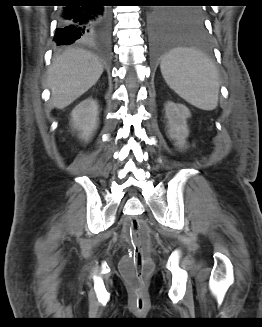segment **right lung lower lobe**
Returning a JSON list of instances; mask_svg holds the SVG:
<instances>
[{
    "instance_id": "obj_1",
    "label": "right lung lower lobe",
    "mask_w": 262,
    "mask_h": 327,
    "mask_svg": "<svg viewBox=\"0 0 262 327\" xmlns=\"http://www.w3.org/2000/svg\"><path fill=\"white\" fill-rule=\"evenodd\" d=\"M59 15L54 41L57 45L86 43L106 49L110 41L111 15L98 0H67Z\"/></svg>"
}]
</instances>
